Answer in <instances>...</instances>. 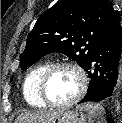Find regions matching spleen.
Listing matches in <instances>:
<instances>
[{
  "mask_svg": "<svg viewBox=\"0 0 122 123\" xmlns=\"http://www.w3.org/2000/svg\"><path fill=\"white\" fill-rule=\"evenodd\" d=\"M87 113L88 123H106L104 107L98 103H85L77 107Z\"/></svg>",
  "mask_w": 122,
  "mask_h": 123,
  "instance_id": "1",
  "label": "spleen"
}]
</instances>
